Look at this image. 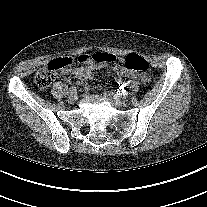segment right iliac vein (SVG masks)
I'll use <instances>...</instances> for the list:
<instances>
[{"mask_svg":"<svg viewBox=\"0 0 207 207\" xmlns=\"http://www.w3.org/2000/svg\"><path fill=\"white\" fill-rule=\"evenodd\" d=\"M67 100L69 103H74L77 100V97L75 96V94H72L68 96Z\"/></svg>","mask_w":207,"mask_h":207,"instance_id":"1","label":"right iliac vein"}]
</instances>
